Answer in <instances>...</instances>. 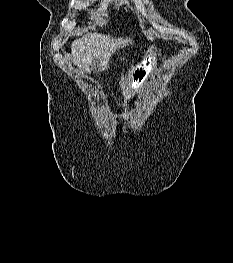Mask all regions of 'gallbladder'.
I'll return each instance as SVG.
<instances>
[{
  "label": "gallbladder",
  "mask_w": 233,
  "mask_h": 263,
  "mask_svg": "<svg viewBox=\"0 0 233 263\" xmlns=\"http://www.w3.org/2000/svg\"><path fill=\"white\" fill-rule=\"evenodd\" d=\"M91 69H94L95 71L100 70V62L97 59L91 63Z\"/></svg>",
  "instance_id": "obj_1"
}]
</instances>
